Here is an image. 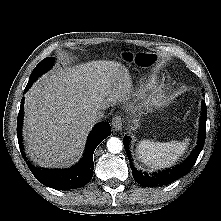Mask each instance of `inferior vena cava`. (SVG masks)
I'll return each instance as SVG.
<instances>
[{"label": "inferior vena cava", "instance_id": "1", "mask_svg": "<svg viewBox=\"0 0 221 221\" xmlns=\"http://www.w3.org/2000/svg\"><path fill=\"white\" fill-rule=\"evenodd\" d=\"M104 117V113L101 110L94 111L91 116L89 117V123L91 125L95 124L99 120H101Z\"/></svg>", "mask_w": 221, "mask_h": 221}]
</instances>
